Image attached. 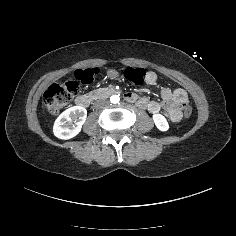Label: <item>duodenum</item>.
Masks as SVG:
<instances>
[{
	"mask_svg": "<svg viewBox=\"0 0 236 236\" xmlns=\"http://www.w3.org/2000/svg\"><path fill=\"white\" fill-rule=\"evenodd\" d=\"M115 92L116 91L112 88H101L97 90L96 92H94L93 94H90V95L83 94V95L77 96L75 99V104L78 107L87 108L93 99L107 97L114 94ZM125 98L130 102L137 100L136 96L132 93H126ZM137 105L138 107L142 109L147 108L152 113L164 111V113L172 120H176L179 116L178 99L176 96H173L172 98L167 99L162 105L155 102L149 103L145 99L137 100Z\"/></svg>",
	"mask_w": 236,
	"mask_h": 236,
	"instance_id": "410a0bca",
	"label": "duodenum"
}]
</instances>
